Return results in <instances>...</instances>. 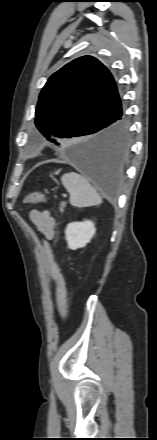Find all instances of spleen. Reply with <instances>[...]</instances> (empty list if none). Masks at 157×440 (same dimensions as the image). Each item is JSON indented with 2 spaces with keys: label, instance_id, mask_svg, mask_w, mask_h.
Returning <instances> with one entry per match:
<instances>
[{
  "label": "spleen",
  "instance_id": "1",
  "mask_svg": "<svg viewBox=\"0 0 157 440\" xmlns=\"http://www.w3.org/2000/svg\"><path fill=\"white\" fill-rule=\"evenodd\" d=\"M61 182L70 195L69 202L72 206L84 208L102 203L100 195L81 175L75 172L64 174Z\"/></svg>",
  "mask_w": 157,
  "mask_h": 440
}]
</instances>
